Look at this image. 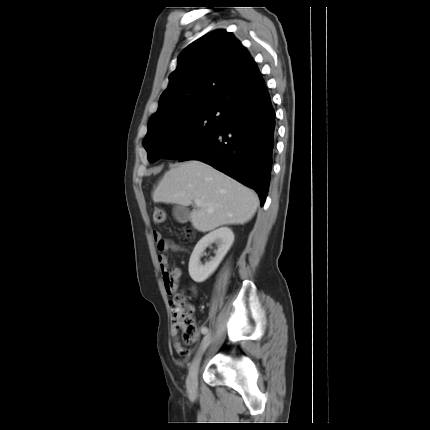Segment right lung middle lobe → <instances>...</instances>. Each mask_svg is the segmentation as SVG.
I'll use <instances>...</instances> for the list:
<instances>
[{
  "mask_svg": "<svg viewBox=\"0 0 430 430\" xmlns=\"http://www.w3.org/2000/svg\"><path fill=\"white\" fill-rule=\"evenodd\" d=\"M224 115L222 106L211 103L148 126L143 146L149 161L181 159L217 133Z\"/></svg>",
  "mask_w": 430,
  "mask_h": 430,
  "instance_id": "1",
  "label": "right lung middle lobe"
}]
</instances>
